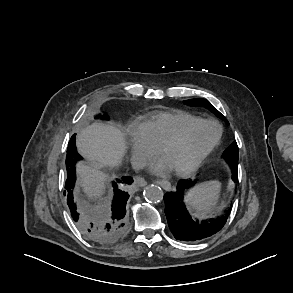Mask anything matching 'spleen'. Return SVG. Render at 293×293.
<instances>
[{"instance_id":"3e777b00","label":"spleen","mask_w":293,"mask_h":293,"mask_svg":"<svg viewBox=\"0 0 293 293\" xmlns=\"http://www.w3.org/2000/svg\"><path fill=\"white\" fill-rule=\"evenodd\" d=\"M220 192L221 182L217 180L203 182L187 191L185 202L192 210L206 215L215 208Z\"/></svg>"}]
</instances>
